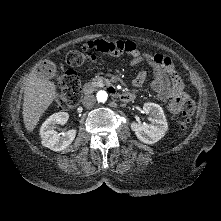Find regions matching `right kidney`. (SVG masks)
<instances>
[{
	"instance_id": "1",
	"label": "right kidney",
	"mask_w": 221,
	"mask_h": 221,
	"mask_svg": "<svg viewBox=\"0 0 221 221\" xmlns=\"http://www.w3.org/2000/svg\"><path fill=\"white\" fill-rule=\"evenodd\" d=\"M69 118L66 112H58L51 115L41 126L40 136L43 146L53 150L61 151L67 148L75 139L76 130L72 129L63 133H58L57 125H64Z\"/></svg>"
}]
</instances>
